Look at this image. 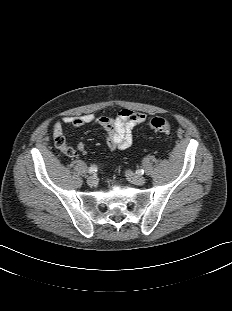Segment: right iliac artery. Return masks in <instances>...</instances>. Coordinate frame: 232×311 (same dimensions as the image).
I'll list each match as a JSON object with an SVG mask.
<instances>
[{
    "mask_svg": "<svg viewBox=\"0 0 232 311\" xmlns=\"http://www.w3.org/2000/svg\"><path fill=\"white\" fill-rule=\"evenodd\" d=\"M97 171V166L96 165H92L90 168H89V173L90 174H93Z\"/></svg>",
    "mask_w": 232,
    "mask_h": 311,
    "instance_id": "82829eb1",
    "label": "right iliac artery"
}]
</instances>
